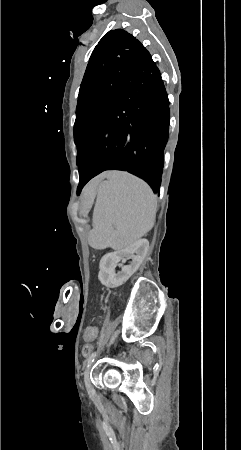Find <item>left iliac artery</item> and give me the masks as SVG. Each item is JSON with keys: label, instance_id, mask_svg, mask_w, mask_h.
I'll use <instances>...</instances> for the list:
<instances>
[{"label": "left iliac artery", "instance_id": "44dca946", "mask_svg": "<svg viewBox=\"0 0 241 450\" xmlns=\"http://www.w3.org/2000/svg\"><path fill=\"white\" fill-rule=\"evenodd\" d=\"M95 356H96V353L94 352L88 357L87 362H86L87 367H89V365L94 361Z\"/></svg>", "mask_w": 241, "mask_h": 450}]
</instances>
